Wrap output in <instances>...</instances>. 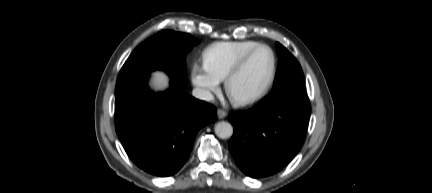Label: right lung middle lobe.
<instances>
[{"label":"right lung middle lobe","mask_w":432,"mask_h":193,"mask_svg":"<svg viewBox=\"0 0 432 193\" xmlns=\"http://www.w3.org/2000/svg\"><path fill=\"white\" fill-rule=\"evenodd\" d=\"M198 42L190 34L162 30L132 52L121 68L118 82L160 69L181 83L186 75L185 56Z\"/></svg>","instance_id":"right-lung-middle-lobe-1"}]
</instances>
